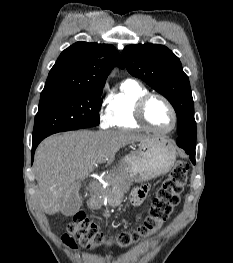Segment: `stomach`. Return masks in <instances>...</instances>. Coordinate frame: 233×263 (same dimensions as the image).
<instances>
[{
  "instance_id": "obj_1",
  "label": "stomach",
  "mask_w": 233,
  "mask_h": 263,
  "mask_svg": "<svg viewBox=\"0 0 233 263\" xmlns=\"http://www.w3.org/2000/svg\"><path fill=\"white\" fill-rule=\"evenodd\" d=\"M175 160L176 150L169 139L151 136L140 141L137 149L118 168L122 176L121 191L127 192L132 182H144L166 174Z\"/></svg>"
}]
</instances>
